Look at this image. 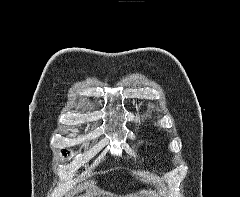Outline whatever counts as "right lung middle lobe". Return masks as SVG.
<instances>
[{"label":"right lung middle lobe","instance_id":"obj_1","mask_svg":"<svg viewBox=\"0 0 240 197\" xmlns=\"http://www.w3.org/2000/svg\"><path fill=\"white\" fill-rule=\"evenodd\" d=\"M63 153L66 154V150H64Z\"/></svg>","mask_w":240,"mask_h":197}]
</instances>
